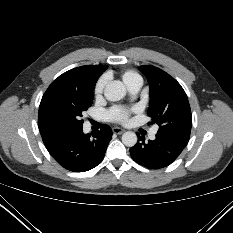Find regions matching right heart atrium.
<instances>
[{
	"mask_svg": "<svg viewBox=\"0 0 233 233\" xmlns=\"http://www.w3.org/2000/svg\"><path fill=\"white\" fill-rule=\"evenodd\" d=\"M106 83H107L106 77H101L97 80L94 86V96L96 99H99L102 96Z\"/></svg>",
	"mask_w": 233,
	"mask_h": 233,
	"instance_id": "1",
	"label": "right heart atrium"
}]
</instances>
